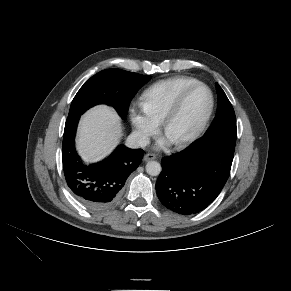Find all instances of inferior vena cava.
Here are the masks:
<instances>
[{
	"label": "inferior vena cava",
	"mask_w": 291,
	"mask_h": 291,
	"mask_svg": "<svg viewBox=\"0 0 291 291\" xmlns=\"http://www.w3.org/2000/svg\"><path fill=\"white\" fill-rule=\"evenodd\" d=\"M149 143V137L139 131H133L126 140V145L130 148H143Z\"/></svg>",
	"instance_id": "obj_1"
}]
</instances>
